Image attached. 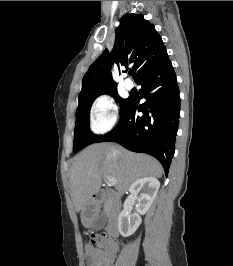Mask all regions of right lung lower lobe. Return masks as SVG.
<instances>
[{
	"instance_id": "1",
	"label": "right lung lower lobe",
	"mask_w": 233,
	"mask_h": 266,
	"mask_svg": "<svg viewBox=\"0 0 233 266\" xmlns=\"http://www.w3.org/2000/svg\"><path fill=\"white\" fill-rule=\"evenodd\" d=\"M146 102L137 106L129 99L120 112L118 126L96 142L116 141L130 151L157 158L166 176L175 150L180 98L176 74L168 56L145 72L136 82ZM142 112L143 116H137Z\"/></svg>"
}]
</instances>
